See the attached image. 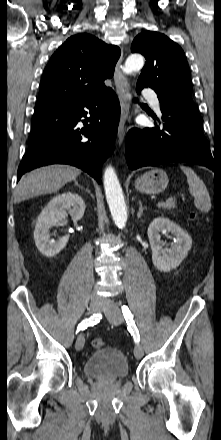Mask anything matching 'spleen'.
Instances as JSON below:
<instances>
[{"label": "spleen", "instance_id": "1", "mask_svg": "<svg viewBox=\"0 0 221 440\" xmlns=\"http://www.w3.org/2000/svg\"><path fill=\"white\" fill-rule=\"evenodd\" d=\"M187 177L189 192L194 197L195 207L202 212H208L211 209V199L204 182L198 177L193 169L180 166Z\"/></svg>", "mask_w": 221, "mask_h": 440}]
</instances>
